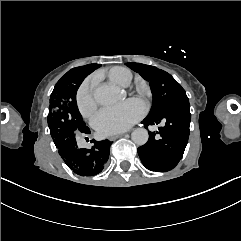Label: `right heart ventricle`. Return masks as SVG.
I'll use <instances>...</instances> for the list:
<instances>
[{
	"instance_id": "obj_1",
	"label": "right heart ventricle",
	"mask_w": 241,
	"mask_h": 241,
	"mask_svg": "<svg viewBox=\"0 0 241 241\" xmlns=\"http://www.w3.org/2000/svg\"><path fill=\"white\" fill-rule=\"evenodd\" d=\"M108 76L113 82L127 86L132 80V72L125 67H113L109 70Z\"/></svg>"
}]
</instances>
